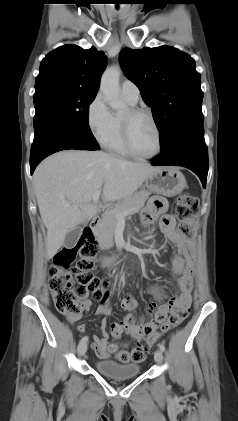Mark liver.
Segmentation results:
<instances>
[{"instance_id":"6515ba94","label":"liver","mask_w":238,"mask_h":421,"mask_svg":"<svg viewBox=\"0 0 238 421\" xmlns=\"http://www.w3.org/2000/svg\"><path fill=\"white\" fill-rule=\"evenodd\" d=\"M103 151H61L42 161L33 180L42 221L47 228L46 254L51 259L69 231L98 213L91 203L100 190L105 202L133 195L156 170ZM66 204H70L69 207Z\"/></svg>"}]
</instances>
